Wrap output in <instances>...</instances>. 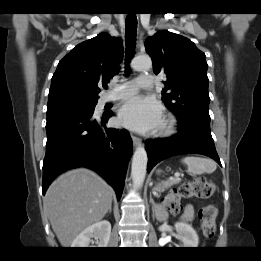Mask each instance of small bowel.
<instances>
[{
    "label": "small bowel",
    "instance_id": "small-bowel-1",
    "mask_svg": "<svg viewBox=\"0 0 261 261\" xmlns=\"http://www.w3.org/2000/svg\"><path fill=\"white\" fill-rule=\"evenodd\" d=\"M182 219L186 221H192L194 219V209L192 206H187L183 215Z\"/></svg>",
    "mask_w": 261,
    "mask_h": 261
}]
</instances>
